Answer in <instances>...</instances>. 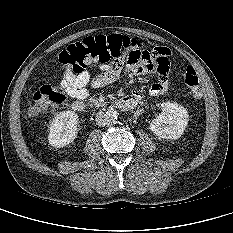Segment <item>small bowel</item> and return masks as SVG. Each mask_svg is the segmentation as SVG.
<instances>
[{
  "label": "small bowel",
  "mask_w": 233,
  "mask_h": 233,
  "mask_svg": "<svg viewBox=\"0 0 233 233\" xmlns=\"http://www.w3.org/2000/svg\"><path fill=\"white\" fill-rule=\"evenodd\" d=\"M170 54V50L165 47H158L154 50L148 49L143 43H136L125 54L124 62L115 60L113 63L100 65V73L95 76H92L87 69L80 74H65L61 84L71 98L83 101L89 95L87 85L91 84L94 88H101L114 82L125 70L126 65L135 74L151 72L157 76L158 79L150 87L149 93L152 96H159L167 92L169 88L167 74L171 70V63L168 60ZM131 95L141 98L138 91H134Z\"/></svg>",
  "instance_id": "c3829d8e"
}]
</instances>
